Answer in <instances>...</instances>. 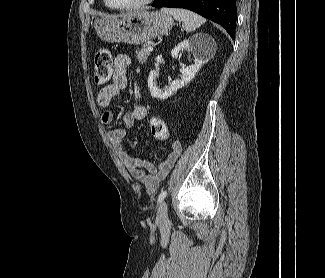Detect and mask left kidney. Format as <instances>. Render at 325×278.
<instances>
[{
	"label": "left kidney",
	"instance_id": "obj_1",
	"mask_svg": "<svg viewBox=\"0 0 325 278\" xmlns=\"http://www.w3.org/2000/svg\"><path fill=\"white\" fill-rule=\"evenodd\" d=\"M183 51L191 52L194 58V63L187 67H182L180 79H176L170 82L168 87L159 89L157 86L156 78L158 76L156 71H151L148 77V88L150 90L151 96L156 99L164 100L172 96L177 92L178 89L184 87L189 83L199 69L204 65L207 58V52L203 47V38L199 36H194L180 42L171 51L173 58L177 59L179 53Z\"/></svg>",
	"mask_w": 325,
	"mask_h": 278
}]
</instances>
